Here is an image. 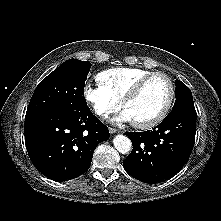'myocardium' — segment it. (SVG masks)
<instances>
[{
	"mask_svg": "<svg viewBox=\"0 0 221 221\" xmlns=\"http://www.w3.org/2000/svg\"><path fill=\"white\" fill-rule=\"evenodd\" d=\"M163 77L168 85H169V96L168 99L163 107V109L160 111V113L155 116L154 118L145 121V122H133V125L139 129H150L153 128L157 125H159L168 115L173 102L175 100V85L173 80L171 79L170 76H168L166 73L163 72H151L148 75L142 77L141 79H139L134 86L131 88V90L128 92V94L124 97V99L122 100V107L124 109H126L127 105L133 101L135 98L138 97V95L140 94V92L142 91L143 87L146 85V83L148 81H150L152 78L154 77Z\"/></svg>",
	"mask_w": 221,
	"mask_h": 221,
	"instance_id": "1",
	"label": "myocardium"
}]
</instances>
